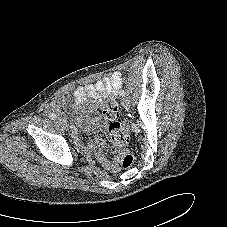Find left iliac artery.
<instances>
[{"label": "left iliac artery", "instance_id": "obj_1", "mask_svg": "<svg viewBox=\"0 0 227 227\" xmlns=\"http://www.w3.org/2000/svg\"><path fill=\"white\" fill-rule=\"evenodd\" d=\"M119 94H120V96L125 97V92H124V90H120Z\"/></svg>", "mask_w": 227, "mask_h": 227}]
</instances>
